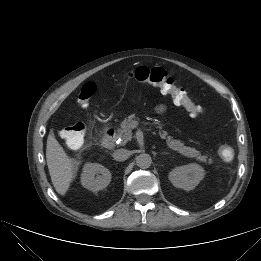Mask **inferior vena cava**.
<instances>
[{
	"mask_svg": "<svg viewBox=\"0 0 261 261\" xmlns=\"http://www.w3.org/2000/svg\"><path fill=\"white\" fill-rule=\"evenodd\" d=\"M130 151L126 149H118L114 152L113 157L117 161H125L130 156Z\"/></svg>",
	"mask_w": 261,
	"mask_h": 261,
	"instance_id": "602c4592",
	"label": "inferior vena cava"
}]
</instances>
